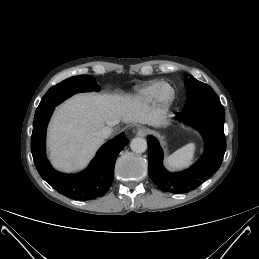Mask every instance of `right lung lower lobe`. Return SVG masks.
<instances>
[{"label":"right lung lower lobe","instance_id":"right-lung-lower-lobe-1","mask_svg":"<svg viewBox=\"0 0 259 259\" xmlns=\"http://www.w3.org/2000/svg\"><path fill=\"white\" fill-rule=\"evenodd\" d=\"M54 108L35 114L31 151L40 176L60 194L75 200H92L103 196L111 186L119 152L129 142L124 133L104 144L86 170L78 174L55 171L45 152L46 128Z\"/></svg>","mask_w":259,"mask_h":259}]
</instances>
